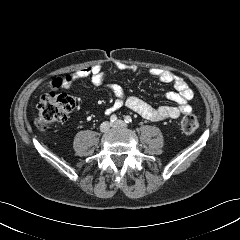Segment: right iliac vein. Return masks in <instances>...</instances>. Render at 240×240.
I'll return each mask as SVG.
<instances>
[{
    "mask_svg": "<svg viewBox=\"0 0 240 240\" xmlns=\"http://www.w3.org/2000/svg\"><path fill=\"white\" fill-rule=\"evenodd\" d=\"M111 128V124L109 123V122H103L102 124H101V126H100V130L102 131V132H107V131H109V129Z\"/></svg>",
    "mask_w": 240,
    "mask_h": 240,
    "instance_id": "63e3f726",
    "label": "right iliac vein"
}]
</instances>
